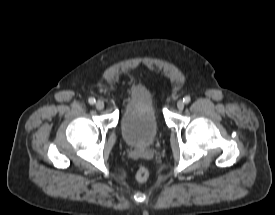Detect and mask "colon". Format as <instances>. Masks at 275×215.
I'll use <instances>...</instances> for the list:
<instances>
[{
  "instance_id": "1",
  "label": "colon",
  "mask_w": 275,
  "mask_h": 215,
  "mask_svg": "<svg viewBox=\"0 0 275 215\" xmlns=\"http://www.w3.org/2000/svg\"><path fill=\"white\" fill-rule=\"evenodd\" d=\"M150 173L146 167H139L135 173V177L139 182H145L149 179Z\"/></svg>"
}]
</instances>
